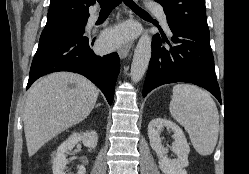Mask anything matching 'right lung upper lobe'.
Segmentation results:
<instances>
[{
  "label": "right lung upper lobe",
  "instance_id": "right-lung-upper-lobe-1",
  "mask_svg": "<svg viewBox=\"0 0 249 174\" xmlns=\"http://www.w3.org/2000/svg\"><path fill=\"white\" fill-rule=\"evenodd\" d=\"M96 0H51L45 27L72 20H87Z\"/></svg>",
  "mask_w": 249,
  "mask_h": 174
}]
</instances>
